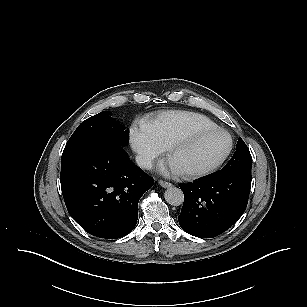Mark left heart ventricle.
Masks as SVG:
<instances>
[{
    "label": "left heart ventricle",
    "instance_id": "obj_1",
    "mask_svg": "<svg viewBox=\"0 0 307 307\" xmlns=\"http://www.w3.org/2000/svg\"><path fill=\"white\" fill-rule=\"evenodd\" d=\"M229 139L223 133L201 138L187 148L169 156L178 172L197 170L216 162L228 149Z\"/></svg>",
    "mask_w": 307,
    "mask_h": 307
}]
</instances>
